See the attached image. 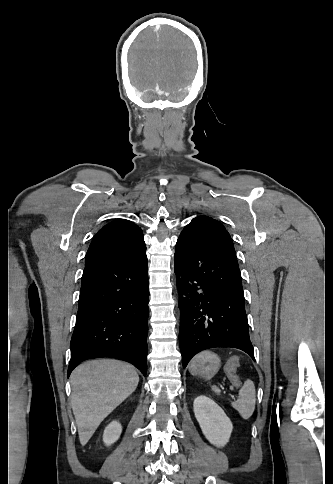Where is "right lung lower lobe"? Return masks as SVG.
<instances>
[{"mask_svg": "<svg viewBox=\"0 0 333 484\" xmlns=\"http://www.w3.org/2000/svg\"><path fill=\"white\" fill-rule=\"evenodd\" d=\"M146 248L128 258L87 263L82 276L68 376L82 361L113 357L147 373Z\"/></svg>", "mask_w": 333, "mask_h": 484, "instance_id": "1", "label": "right lung lower lobe"}]
</instances>
